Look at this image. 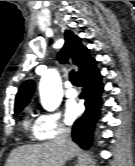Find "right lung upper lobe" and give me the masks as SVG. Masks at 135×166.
Wrapping results in <instances>:
<instances>
[{"mask_svg": "<svg viewBox=\"0 0 135 166\" xmlns=\"http://www.w3.org/2000/svg\"><path fill=\"white\" fill-rule=\"evenodd\" d=\"M64 36L65 45L59 52L58 59L66 63L68 62V58H70L72 63L79 67V71L77 72L79 74L81 70L94 62L95 59L90 56L89 50L81 44V39L75 36L70 30H65ZM34 89V81L27 80L23 82L16 95L15 109L27 105Z\"/></svg>", "mask_w": 135, "mask_h": 166, "instance_id": "cb5924a9", "label": "right lung upper lobe"}]
</instances>
